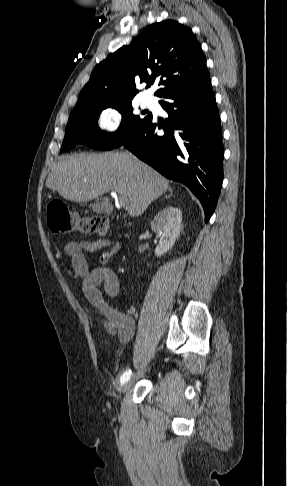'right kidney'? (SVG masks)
<instances>
[{
  "label": "right kidney",
  "mask_w": 287,
  "mask_h": 486,
  "mask_svg": "<svg viewBox=\"0 0 287 486\" xmlns=\"http://www.w3.org/2000/svg\"><path fill=\"white\" fill-rule=\"evenodd\" d=\"M182 212L180 209L168 206L160 210L151 222V228L160 236L155 255L161 257L172 248L180 235L182 228Z\"/></svg>",
  "instance_id": "right-kidney-1"
}]
</instances>
